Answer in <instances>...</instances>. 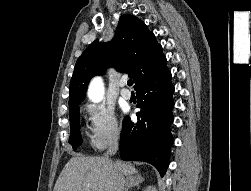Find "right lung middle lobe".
Returning <instances> with one entry per match:
<instances>
[{"instance_id": "dd1d6c3e", "label": "right lung middle lobe", "mask_w": 251, "mask_h": 191, "mask_svg": "<svg viewBox=\"0 0 251 191\" xmlns=\"http://www.w3.org/2000/svg\"><path fill=\"white\" fill-rule=\"evenodd\" d=\"M70 116V128L71 133L69 137V143L72 145L75 151L81 144L82 138L80 133L79 119H80V108L79 106L69 107Z\"/></svg>"}]
</instances>
